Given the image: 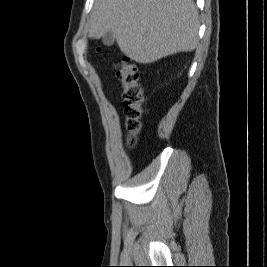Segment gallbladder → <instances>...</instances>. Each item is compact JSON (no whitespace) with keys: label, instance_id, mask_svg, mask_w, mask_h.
I'll use <instances>...</instances> for the list:
<instances>
[{"label":"gallbladder","instance_id":"bac80fb5","mask_svg":"<svg viewBox=\"0 0 267 267\" xmlns=\"http://www.w3.org/2000/svg\"><path fill=\"white\" fill-rule=\"evenodd\" d=\"M103 44L106 46H112L114 44L115 38H114V34L109 31L107 32L103 38H102Z\"/></svg>","mask_w":267,"mask_h":267}]
</instances>
